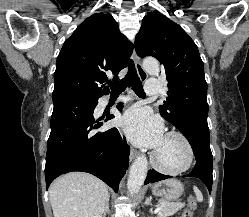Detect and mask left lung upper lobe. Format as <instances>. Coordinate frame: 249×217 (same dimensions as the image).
<instances>
[{
    "mask_svg": "<svg viewBox=\"0 0 249 217\" xmlns=\"http://www.w3.org/2000/svg\"><path fill=\"white\" fill-rule=\"evenodd\" d=\"M140 57L153 56L164 66L169 91L160 114L179 130L191 119H207V83L198 48L175 22L148 13L135 39Z\"/></svg>",
    "mask_w": 249,
    "mask_h": 217,
    "instance_id": "5c2ea615",
    "label": "left lung upper lobe"
}]
</instances>
